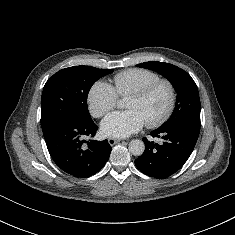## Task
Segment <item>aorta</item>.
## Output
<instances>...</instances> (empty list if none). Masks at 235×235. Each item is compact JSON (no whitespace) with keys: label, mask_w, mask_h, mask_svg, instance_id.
Here are the masks:
<instances>
[{"label":"aorta","mask_w":235,"mask_h":235,"mask_svg":"<svg viewBox=\"0 0 235 235\" xmlns=\"http://www.w3.org/2000/svg\"><path fill=\"white\" fill-rule=\"evenodd\" d=\"M129 152L134 156H141L145 150V144L142 140L134 139L129 143Z\"/></svg>","instance_id":"obj_1"}]
</instances>
